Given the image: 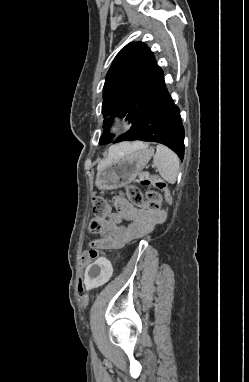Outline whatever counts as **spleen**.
<instances>
[{
  "instance_id": "obj_1",
  "label": "spleen",
  "mask_w": 249,
  "mask_h": 382,
  "mask_svg": "<svg viewBox=\"0 0 249 382\" xmlns=\"http://www.w3.org/2000/svg\"><path fill=\"white\" fill-rule=\"evenodd\" d=\"M153 163L161 177L168 183H175L179 173L178 156L164 145H157Z\"/></svg>"
}]
</instances>
